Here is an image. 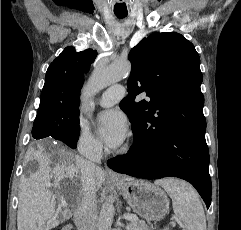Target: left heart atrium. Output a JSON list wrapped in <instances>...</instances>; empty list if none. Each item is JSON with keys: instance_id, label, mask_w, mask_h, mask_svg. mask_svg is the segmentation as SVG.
<instances>
[{"instance_id": "left-heart-atrium-1", "label": "left heart atrium", "mask_w": 241, "mask_h": 230, "mask_svg": "<svg viewBox=\"0 0 241 230\" xmlns=\"http://www.w3.org/2000/svg\"><path fill=\"white\" fill-rule=\"evenodd\" d=\"M127 130V119L122 112L109 110L101 114L98 132L108 147H119L127 136Z\"/></svg>"}]
</instances>
